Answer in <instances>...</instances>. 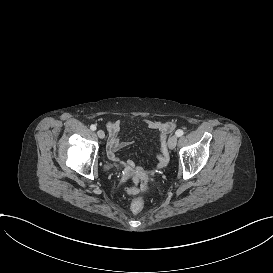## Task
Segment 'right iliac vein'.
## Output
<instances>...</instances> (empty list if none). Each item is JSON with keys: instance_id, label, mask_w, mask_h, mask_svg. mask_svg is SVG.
<instances>
[{"instance_id": "63e3f726", "label": "right iliac vein", "mask_w": 273, "mask_h": 273, "mask_svg": "<svg viewBox=\"0 0 273 273\" xmlns=\"http://www.w3.org/2000/svg\"><path fill=\"white\" fill-rule=\"evenodd\" d=\"M97 135H98V137L101 138V139H103V138L105 137V133H104L103 130H98V131H97Z\"/></svg>"}]
</instances>
